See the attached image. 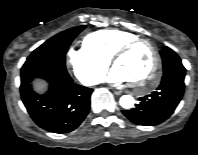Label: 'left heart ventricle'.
Segmentation results:
<instances>
[{"label":"left heart ventricle","instance_id":"1","mask_svg":"<svg viewBox=\"0 0 198 155\" xmlns=\"http://www.w3.org/2000/svg\"><path fill=\"white\" fill-rule=\"evenodd\" d=\"M153 59L151 48L145 43H139L117 59L115 66L120 68L132 82H141L150 73Z\"/></svg>","mask_w":198,"mask_h":155}]
</instances>
